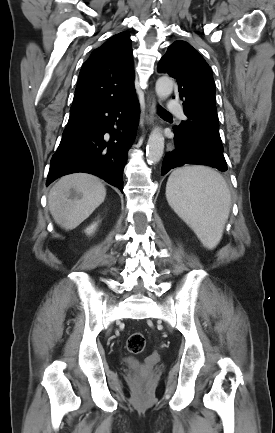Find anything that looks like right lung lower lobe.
Segmentation results:
<instances>
[{
    "mask_svg": "<svg viewBox=\"0 0 275 433\" xmlns=\"http://www.w3.org/2000/svg\"><path fill=\"white\" fill-rule=\"evenodd\" d=\"M139 114L136 94L71 114L52 156L46 185L63 175L85 172L123 192V169L136 135Z\"/></svg>",
    "mask_w": 275,
    "mask_h": 433,
    "instance_id": "obj_1",
    "label": "right lung lower lobe"
}]
</instances>
